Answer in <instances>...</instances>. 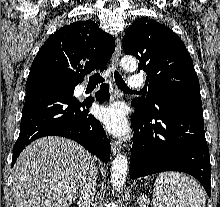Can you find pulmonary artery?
Listing matches in <instances>:
<instances>
[{
	"mask_svg": "<svg viewBox=\"0 0 220 207\" xmlns=\"http://www.w3.org/2000/svg\"><path fill=\"white\" fill-rule=\"evenodd\" d=\"M128 86L130 89H133V90L142 89L145 86V81L140 76H132L129 79Z\"/></svg>",
	"mask_w": 220,
	"mask_h": 207,
	"instance_id": "obj_1",
	"label": "pulmonary artery"
}]
</instances>
